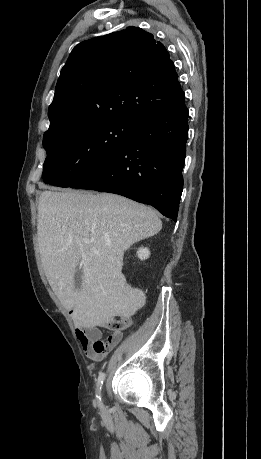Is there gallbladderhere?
I'll use <instances>...</instances> for the list:
<instances>
[{"label":"gallbladder","instance_id":"obj_1","mask_svg":"<svg viewBox=\"0 0 261 459\" xmlns=\"http://www.w3.org/2000/svg\"><path fill=\"white\" fill-rule=\"evenodd\" d=\"M82 277H83L82 268L78 266L75 270V275H74V285H75L76 290H79L81 288Z\"/></svg>","mask_w":261,"mask_h":459}]
</instances>
